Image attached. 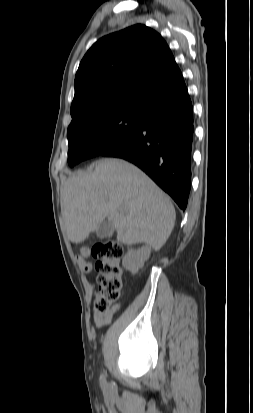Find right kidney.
I'll list each match as a JSON object with an SVG mask.
<instances>
[{
  "label": "right kidney",
  "mask_w": 253,
  "mask_h": 413,
  "mask_svg": "<svg viewBox=\"0 0 253 413\" xmlns=\"http://www.w3.org/2000/svg\"><path fill=\"white\" fill-rule=\"evenodd\" d=\"M151 248L143 246L139 249H130L123 258V266L132 274H136L150 257Z\"/></svg>",
  "instance_id": "1"
}]
</instances>
